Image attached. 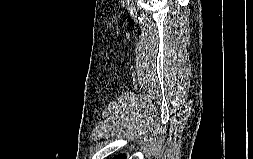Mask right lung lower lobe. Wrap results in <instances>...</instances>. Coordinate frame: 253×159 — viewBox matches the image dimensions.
I'll return each instance as SVG.
<instances>
[{
    "label": "right lung lower lobe",
    "instance_id": "right-lung-lower-lobe-1",
    "mask_svg": "<svg viewBox=\"0 0 253 159\" xmlns=\"http://www.w3.org/2000/svg\"><path fill=\"white\" fill-rule=\"evenodd\" d=\"M114 159H126L125 155H118Z\"/></svg>",
    "mask_w": 253,
    "mask_h": 159
}]
</instances>
